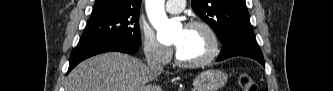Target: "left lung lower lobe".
<instances>
[{
	"mask_svg": "<svg viewBox=\"0 0 333 91\" xmlns=\"http://www.w3.org/2000/svg\"><path fill=\"white\" fill-rule=\"evenodd\" d=\"M233 56L250 57L265 66L263 54L255 41L253 32L238 34L227 39L217 61Z\"/></svg>",
	"mask_w": 333,
	"mask_h": 91,
	"instance_id": "0a47b994",
	"label": "left lung lower lobe"
}]
</instances>
